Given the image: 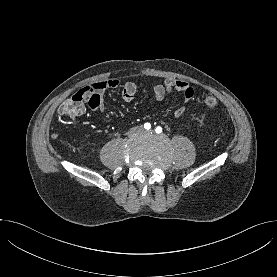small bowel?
Returning a JSON list of instances; mask_svg holds the SVG:
<instances>
[{"label": "small bowel", "instance_id": "c3829d8e", "mask_svg": "<svg viewBox=\"0 0 277 277\" xmlns=\"http://www.w3.org/2000/svg\"><path fill=\"white\" fill-rule=\"evenodd\" d=\"M118 87H122V98L124 101L131 102L134 99L137 92V86L135 83L126 82L123 85H120L118 80L108 79L92 84L90 89L88 87L84 89L86 93L94 97L90 107L95 111H103V95L108 89H115ZM149 87L157 101H162L166 94L173 90L181 92L186 101L190 100L194 95L193 88L183 80L165 79L162 82L151 83ZM184 111V107H178L173 112L174 118H180Z\"/></svg>", "mask_w": 277, "mask_h": 277}]
</instances>
